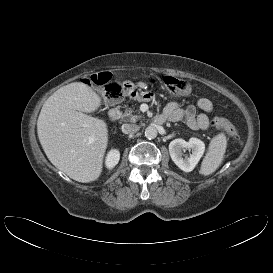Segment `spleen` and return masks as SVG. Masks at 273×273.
<instances>
[{
  "mask_svg": "<svg viewBox=\"0 0 273 273\" xmlns=\"http://www.w3.org/2000/svg\"><path fill=\"white\" fill-rule=\"evenodd\" d=\"M227 147V139L224 133L212 138L208 151L201 163L199 173L208 176L214 173L221 165Z\"/></svg>",
  "mask_w": 273,
  "mask_h": 273,
  "instance_id": "1",
  "label": "spleen"
}]
</instances>
